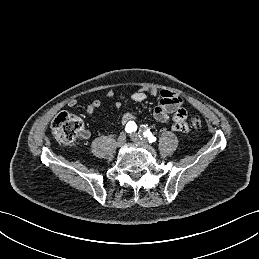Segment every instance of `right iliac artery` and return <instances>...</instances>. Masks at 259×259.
<instances>
[{"label":"right iliac artery","instance_id":"right-iliac-artery-1","mask_svg":"<svg viewBox=\"0 0 259 259\" xmlns=\"http://www.w3.org/2000/svg\"><path fill=\"white\" fill-rule=\"evenodd\" d=\"M137 130V125L135 124L134 121H129L127 124H126V127H125V131L127 133H132V132H135Z\"/></svg>","mask_w":259,"mask_h":259}]
</instances>
